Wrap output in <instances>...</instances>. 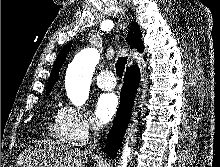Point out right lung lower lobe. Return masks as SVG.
Here are the masks:
<instances>
[{
    "label": "right lung lower lobe",
    "instance_id": "right-lung-lower-lobe-1",
    "mask_svg": "<svg viewBox=\"0 0 220 167\" xmlns=\"http://www.w3.org/2000/svg\"><path fill=\"white\" fill-rule=\"evenodd\" d=\"M140 71L137 66L127 69L124 76V84L120 94V107L117 111L116 120L107 135L106 153L116 158L117 150L121 147L124 132L127 129L131 117V111L135 93L139 85Z\"/></svg>",
    "mask_w": 220,
    "mask_h": 167
}]
</instances>
